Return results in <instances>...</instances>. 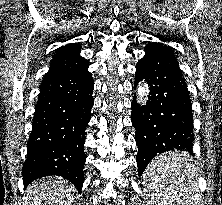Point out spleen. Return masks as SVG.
Returning a JSON list of instances; mask_svg holds the SVG:
<instances>
[{"label":"spleen","instance_id":"3e777b00","mask_svg":"<svg viewBox=\"0 0 222 205\" xmlns=\"http://www.w3.org/2000/svg\"><path fill=\"white\" fill-rule=\"evenodd\" d=\"M197 177L195 166L183 154L155 157L143 176L147 205H201Z\"/></svg>","mask_w":222,"mask_h":205}]
</instances>
